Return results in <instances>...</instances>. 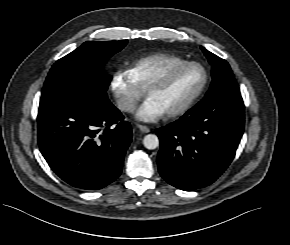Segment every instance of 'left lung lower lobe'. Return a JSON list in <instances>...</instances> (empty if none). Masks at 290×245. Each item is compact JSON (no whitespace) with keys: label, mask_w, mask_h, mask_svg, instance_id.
<instances>
[{"label":"left lung lower lobe","mask_w":290,"mask_h":245,"mask_svg":"<svg viewBox=\"0 0 290 245\" xmlns=\"http://www.w3.org/2000/svg\"><path fill=\"white\" fill-rule=\"evenodd\" d=\"M244 123L241 96L199 102L179 120L156 130L160 175L185 191L210 185L233 160Z\"/></svg>","instance_id":"0a47b994"}]
</instances>
